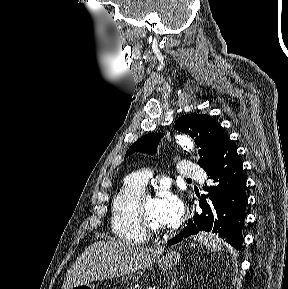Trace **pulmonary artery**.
Returning <instances> with one entry per match:
<instances>
[{"label": "pulmonary artery", "instance_id": "e3ab8cb5", "mask_svg": "<svg viewBox=\"0 0 288 289\" xmlns=\"http://www.w3.org/2000/svg\"><path fill=\"white\" fill-rule=\"evenodd\" d=\"M179 175L183 178H191L199 181H204L206 176L203 170L198 168L194 163L183 160L178 164ZM150 177L148 170H140L131 174L127 179L140 187L145 188Z\"/></svg>", "mask_w": 288, "mask_h": 289}]
</instances>
